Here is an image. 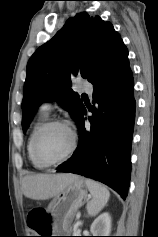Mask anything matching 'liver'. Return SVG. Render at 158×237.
I'll use <instances>...</instances> for the list:
<instances>
[{"label": "liver", "mask_w": 158, "mask_h": 237, "mask_svg": "<svg viewBox=\"0 0 158 237\" xmlns=\"http://www.w3.org/2000/svg\"><path fill=\"white\" fill-rule=\"evenodd\" d=\"M77 178L71 173L28 175L22 179V191L28 198L47 200L60 194Z\"/></svg>", "instance_id": "liver-1"}]
</instances>
